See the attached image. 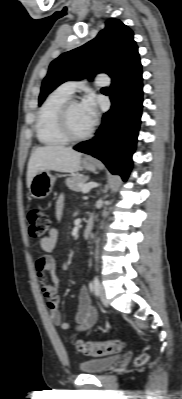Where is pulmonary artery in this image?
Segmentation results:
<instances>
[{"label": "pulmonary artery", "mask_w": 182, "mask_h": 399, "mask_svg": "<svg viewBox=\"0 0 182 399\" xmlns=\"http://www.w3.org/2000/svg\"><path fill=\"white\" fill-rule=\"evenodd\" d=\"M82 83L83 82L81 81L75 80L66 81L60 86V88L68 92L69 94H72L76 90V88L79 87ZM97 83L100 85H106L108 84V80L105 78V75L99 74L97 76Z\"/></svg>", "instance_id": "obj_1"}]
</instances>
